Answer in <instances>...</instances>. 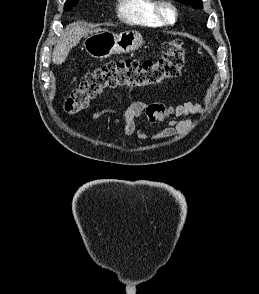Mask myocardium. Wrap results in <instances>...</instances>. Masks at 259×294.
Wrapping results in <instances>:
<instances>
[{
	"instance_id": "f54148a6",
	"label": "myocardium",
	"mask_w": 259,
	"mask_h": 294,
	"mask_svg": "<svg viewBox=\"0 0 259 294\" xmlns=\"http://www.w3.org/2000/svg\"><path fill=\"white\" fill-rule=\"evenodd\" d=\"M154 15L163 25H173L178 18L175 6L167 0H159L154 4Z\"/></svg>"
}]
</instances>
